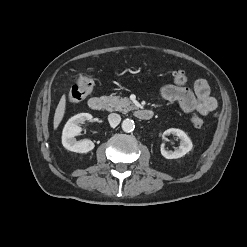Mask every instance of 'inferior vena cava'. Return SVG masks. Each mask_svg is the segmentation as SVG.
Here are the masks:
<instances>
[{
    "instance_id": "inferior-vena-cava-1",
    "label": "inferior vena cava",
    "mask_w": 247,
    "mask_h": 247,
    "mask_svg": "<svg viewBox=\"0 0 247 247\" xmlns=\"http://www.w3.org/2000/svg\"><path fill=\"white\" fill-rule=\"evenodd\" d=\"M108 121L111 126H117L121 122V116L117 113H111L108 115Z\"/></svg>"
}]
</instances>
